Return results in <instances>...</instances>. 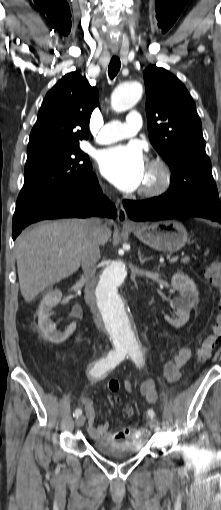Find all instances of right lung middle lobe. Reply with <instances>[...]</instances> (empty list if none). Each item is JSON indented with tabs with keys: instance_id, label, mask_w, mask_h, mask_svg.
Returning a JSON list of instances; mask_svg holds the SVG:
<instances>
[{
	"instance_id": "dd1d6c3e",
	"label": "right lung middle lobe",
	"mask_w": 221,
	"mask_h": 510,
	"mask_svg": "<svg viewBox=\"0 0 221 510\" xmlns=\"http://www.w3.org/2000/svg\"><path fill=\"white\" fill-rule=\"evenodd\" d=\"M91 173L89 157L79 145L27 155L24 186L14 216L26 219L45 202L84 183Z\"/></svg>"
}]
</instances>
